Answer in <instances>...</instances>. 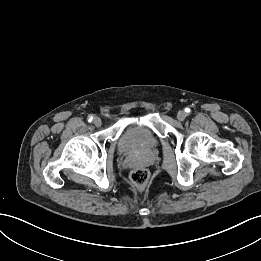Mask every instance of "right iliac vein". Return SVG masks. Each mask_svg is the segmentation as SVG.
<instances>
[{"mask_svg": "<svg viewBox=\"0 0 261 261\" xmlns=\"http://www.w3.org/2000/svg\"><path fill=\"white\" fill-rule=\"evenodd\" d=\"M93 124H94L96 127H100L101 124H102V121H101V119H100L99 117H95V118L93 119Z\"/></svg>", "mask_w": 261, "mask_h": 261, "instance_id": "1", "label": "right iliac vein"}]
</instances>
